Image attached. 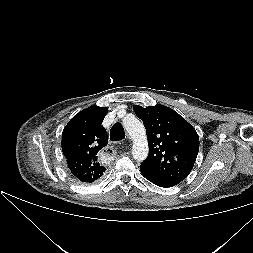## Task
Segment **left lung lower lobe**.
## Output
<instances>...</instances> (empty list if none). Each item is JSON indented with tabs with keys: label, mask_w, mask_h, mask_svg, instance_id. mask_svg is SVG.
I'll return each mask as SVG.
<instances>
[{
	"label": "left lung lower lobe",
	"mask_w": 253,
	"mask_h": 253,
	"mask_svg": "<svg viewBox=\"0 0 253 253\" xmlns=\"http://www.w3.org/2000/svg\"><path fill=\"white\" fill-rule=\"evenodd\" d=\"M145 176V175H144ZM147 179H149L152 183H154L155 185L157 186H160V187H164V188H168V187H172L174 185H171L169 183H166V182H162L160 180H156V179H152L148 176H145Z\"/></svg>",
	"instance_id": "0a47b994"
}]
</instances>
